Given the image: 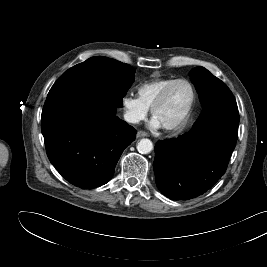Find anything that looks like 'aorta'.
Wrapping results in <instances>:
<instances>
[{"label": "aorta", "mask_w": 267, "mask_h": 267, "mask_svg": "<svg viewBox=\"0 0 267 267\" xmlns=\"http://www.w3.org/2000/svg\"><path fill=\"white\" fill-rule=\"evenodd\" d=\"M137 150L141 154H148L153 150V143L149 139H141L137 144Z\"/></svg>", "instance_id": "1"}]
</instances>
